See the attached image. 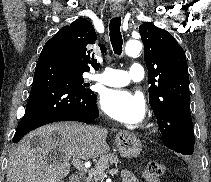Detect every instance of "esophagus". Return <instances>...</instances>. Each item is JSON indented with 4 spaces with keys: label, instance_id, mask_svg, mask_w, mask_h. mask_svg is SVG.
Returning <instances> with one entry per match:
<instances>
[{
    "label": "esophagus",
    "instance_id": "34e87169",
    "mask_svg": "<svg viewBox=\"0 0 211 182\" xmlns=\"http://www.w3.org/2000/svg\"><path fill=\"white\" fill-rule=\"evenodd\" d=\"M112 13L114 16H118L121 13V9H113Z\"/></svg>",
    "mask_w": 211,
    "mask_h": 182
}]
</instances>
